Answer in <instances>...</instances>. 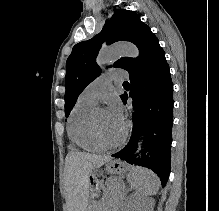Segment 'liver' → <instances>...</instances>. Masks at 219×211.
<instances>
[{
  "mask_svg": "<svg viewBox=\"0 0 219 211\" xmlns=\"http://www.w3.org/2000/svg\"><path fill=\"white\" fill-rule=\"evenodd\" d=\"M111 155L69 151L65 159V199L68 211H85L89 199L91 169L110 161Z\"/></svg>",
  "mask_w": 219,
  "mask_h": 211,
  "instance_id": "obj_1",
  "label": "liver"
}]
</instances>
